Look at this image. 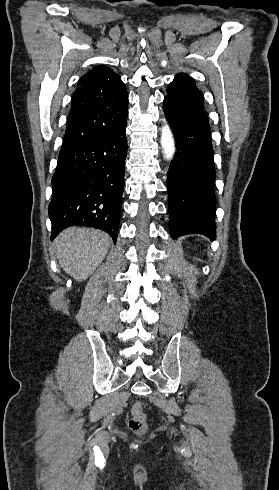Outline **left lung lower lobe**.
Segmentation results:
<instances>
[{
  "mask_svg": "<svg viewBox=\"0 0 279 490\" xmlns=\"http://www.w3.org/2000/svg\"><path fill=\"white\" fill-rule=\"evenodd\" d=\"M166 118L176 140V154L167 177L169 232L175 239L187 234L215 238V169L208 117L166 96Z\"/></svg>",
  "mask_w": 279,
  "mask_h": 490,
  "instance_id": "left-lung-lower-lobe-1",
  "label": "left lung lower lobe"
}]
</instances>
